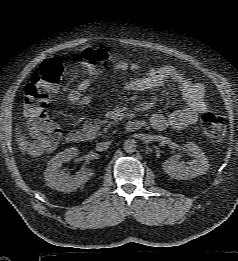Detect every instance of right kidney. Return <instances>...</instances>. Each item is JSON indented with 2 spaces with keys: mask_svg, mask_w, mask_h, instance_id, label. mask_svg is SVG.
Returning a JSON list of instances; mask_svg holds the SVG:
<instances>
[{
  "mask_svg": "<svg viewBox=\"0 0 238 261\" xmlns=\"http://www.w3.org/2000/svg\"><path fill=\"white\" fill-rule=\"evenodd\" d=\"M77 155L78 149L71 147L58 153L48 162L44 177L50 188L66 193L73 192L91 178L93 172L90 169L78 171L74 177L59 169L64 162H69Z\"/></svg>",
  "mask_w": 238,
  "mask_h": 261,
  "instance_id": "obj_1",
  "label": "right kidney"
}]
</instances>
